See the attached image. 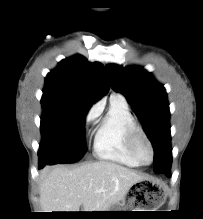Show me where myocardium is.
I'll list each match as a JSON object with an SVG mask.
<instances>
[{
    "mask_svg": "<svg viewBox=\"0 0 203 219\" xmlns=\"http://www.w3.org/2000/svg\"><path fill=\"white\" fill-rule=\"evenodd\" d=\"M139 139H143L151 152V160L149 162H144L142 160V158L139 155V152L137 150V142ZM127 141H128V146L129 149L132 153V155L135 157V159L141 164V165H150L155 158V150H154V146L150 140V138L148 137V135L146 134V132L144 131V129L135 124L134 126H132L128 132V136H127Z\"/></svg>",
    "mask_w": 203,
    "mask_h": 219,
    "instance_id": "1",
    "label": "myocardium"
}]
</instances>
